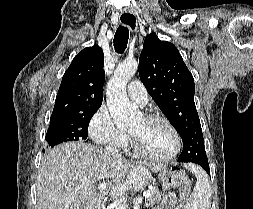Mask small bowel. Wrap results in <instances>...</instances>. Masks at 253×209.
<instances>
[{"instance_id": "obj_1", "label": "small bowel", "mask_w": 253, "mask_h": 209, "mask_svg": "<svg viewBox=\"0 0 253 209\" xmlns=\"http://www.w3.org/2000/svg\"><path fill=\"white\" fill-rule=\"evenodd\" d=\"M176 196L173 192L167 193L160 204L153 209H181L180 206L176 205Z\"/></svg>"}]
</instances>
